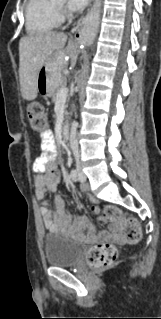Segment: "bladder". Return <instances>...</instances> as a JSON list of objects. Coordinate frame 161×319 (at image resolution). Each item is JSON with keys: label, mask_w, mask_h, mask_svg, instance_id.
I'll return each instance as SVG.
<instances>
[{"label": "bladder", "mask_w": 161, "mask_h": 319, "mask_svg": "<svg viewBox=\"0 0 161 319\" xmlns=\"http://www.w3.org/2000/svg\"><path fill=\"white\" fill-rule=\"evenodd\" d=\"M84 244L70 236L47 234L43 242L45 263L49 266L75 265L82 257Z\"/></svg>", "instance_id": "31cf9c89"}]
</instances>
